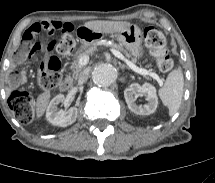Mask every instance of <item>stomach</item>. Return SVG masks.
Instances as JSON below:
<instances>
[{"label":"stomach","mask_w":215,"mask_h":183,"mask_svg":"<svg viewBox=\"0 0 215 183\" xmlns=\"http://www.w3.org/2000/svg\"><path fill=\"white\" fill-rule=\"evenodd\" d=\"M113 37L120 42L122 46L135 58L139 59L143 56L142 33L138 26L130 25L126 30L113 34ZM84 41L83 47H88L91 43L96 42Z\"/></svg>","instance_id":"0dacf381"}]
</instances>
